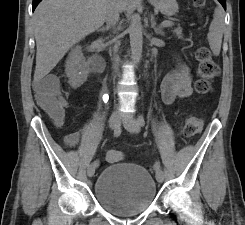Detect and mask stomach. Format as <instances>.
I'll use <instances>...</instances> for the list:
<instances>
[{
	"mask_svg": "<svg viewBox=\"0 0 245 225\" xmlns=\"http://www.w3.org/2000/svg\"><path fill=\"white\" fill-rule=\"evenodd\" d=\"M151 5L158 9L163 15L173 16L178 12L176 0H148Z\"/></svg>",
	"mask_w": 245,
	"mask_h": 225,
	"instance_id": "0dacf381",
	"label": "stomach"
}]
</instances>
